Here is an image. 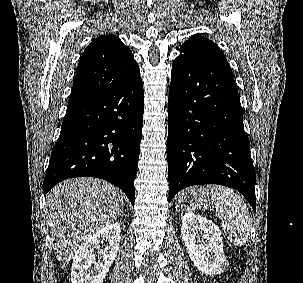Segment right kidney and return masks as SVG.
<instances>
[{
	"instance_id": "ca27d5eb",
	"label": "right kidney",
	"mask_w": 303,
	"mask_h": 283,
	"mask_svg": "<svg viewBox=\"0 0 303 283\" xmlns=\"http://www.w3.org/2000/svg\"><path fill=\"white\" fill-rule=\"evenodd\" d=\"M120 234L119 224L111 223L84 241L73 258L72 283H103L109 267L116 258ZM104 242H106V247L100 250L98 261H95L94 249Z\"/></svg>"
}]
</instances>
